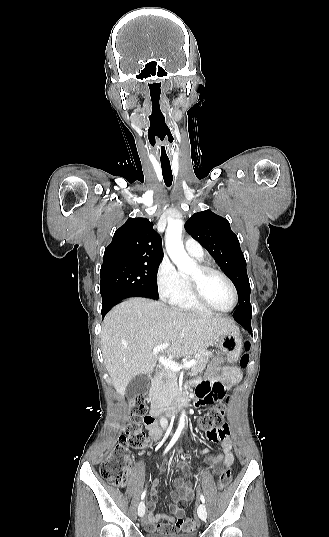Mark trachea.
I'll return each mask as SVG.
<instances>
[{
	"label": "trachea",
	"instance_id": "trachea-1",
	"mask_svg": "<svg viewBox=\"0 0 329 537\" xmlns=\"http://www.w3.org/2000/svg\"><path fill=\"white\" fill-rule=\"evenodd\" d=\"M163 179L167 187H170L173 181L172 170L170 164H162Z\"/></svg>",
	"mask_w": 329,
	"mask_h": 537
}]
</instances>
